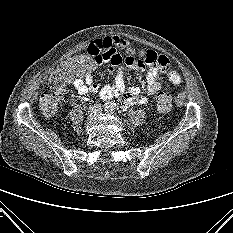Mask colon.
<instances>
[{"label":"colon","instance_id":"5ec220e1","mask_svg":"<svg viewBox=\"0 0 233 233\" xmlns=\"http://www.w3.org/2000/svg\"><path fill=\"white\" fill-rule=\"evenodd\" d=\"M128 50V56L137 60V62L152 66H161L159 61L149 60L141 57V51L134 52ZM94 54L86 52L84 54L70 58L60 63L50 74L48 78L49 91L42 93L39 99V105L42 112L48 116L53 115L57 109V104L61 92L67 83L74 77L81 76L87 69L97 63ZM157 108L160 112L166 113L172 108V96L169 93H159L156 98Z\"/></svg>","mask_w":233,"mask_h":233}]
</instances>
